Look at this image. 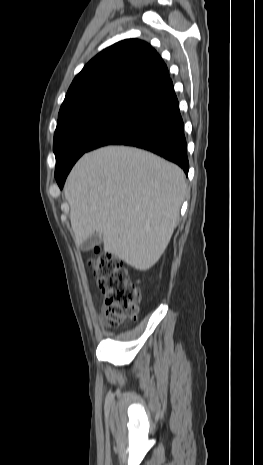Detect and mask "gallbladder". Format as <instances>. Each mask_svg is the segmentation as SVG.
<instances>
[{
    "instance_id": "bac80fb5",
    "label": "gallbladder",
    "mask_w": 263,
    "mask_h": 465,
    "mask_svg": "<svg viewBox=\"0 0 263 465\" xmlns=\"http://www.w3.org/2000/svg\"><path fill=\"white\" fill-rule=\"evenodd\" d=\"M102 242V235L95 232L92 234L90 237H88L86 240H84L81 244V249L82 251H89L91 250L94 246L100 244Z\"/></svg>"
}]
</instances>
